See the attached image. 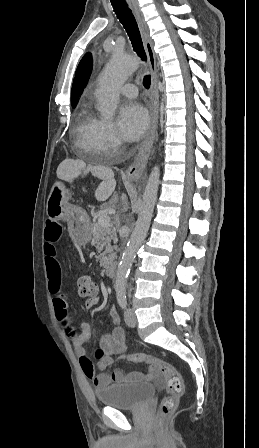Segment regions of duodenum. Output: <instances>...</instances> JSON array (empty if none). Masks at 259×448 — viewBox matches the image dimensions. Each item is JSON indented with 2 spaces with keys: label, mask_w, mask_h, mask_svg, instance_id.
Instances as JSON below:
<instances>
[{
  "label": "duodenum",
  "mask_w": 259,
  "mask_h": 448,
  "mask_svg": "<svg viewBox=\"0 0 259 448\" xmlns=\"http://www.w3.org/2000/svg\"><path fill=\"white\" fill-rule=\"evenodd\" d=\"M118 265L117 263H111L106 267V275L109 278H115L117 274Z\"/></svg>",
  "instance_id": "obj_1"
}]
</instances>
